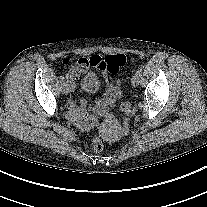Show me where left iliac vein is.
I'll list each match as a JSON object with an SVG mask.
<instances>
[{"mask_svg": "<svg viewBox=\"0 0 207 207\" xmlns=\"http://www.w3.org/2000/svg\"><path fill=\"white\" fill-rule=\"evenodd\" d=\"M132 85L133 86H138L139 85V82H140V76L135 74L133 77H132Z\"/></svg>", "mask_w": 207, "mask_h": 207, "instance_id": "4c4485c4", "label": "left iliac vein"}]
</instances>
